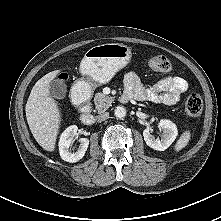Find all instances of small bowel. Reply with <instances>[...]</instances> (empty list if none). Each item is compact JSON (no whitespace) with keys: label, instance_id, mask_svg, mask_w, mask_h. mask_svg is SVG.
Returning a JSON list of instances; mask_svg holds the SVG:
<instances>
[{"label":"small bowel","instance_id":"1","mask_svg":"<svg viewBox=\"0 0 221 221\" xmlns=\"http://www.w3.org/2000/svg\"><path fill=\"white\" fill-rule=\"evenodd\" d=\"M124 100L135 98L142 102L174 105L187 90V81L182 76L164 77L152 87H145L139 76L129 72L124 77Z\"/></svg>","mask_w":221,"mask_h":221}]
</instances>
